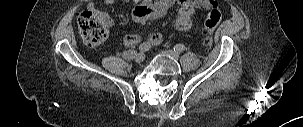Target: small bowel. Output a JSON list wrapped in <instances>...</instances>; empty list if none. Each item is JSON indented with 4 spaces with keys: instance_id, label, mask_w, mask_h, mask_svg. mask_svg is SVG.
<instances>
[{
    "instance_id": "small-bowel-1",
    "label": "small bowel",
    "mask_w": 303,
    "mask_h": 127,
    "mask_svg": "<svg viewBox=\"0 0 303 127\" xmlns=\"http://www.w3.org/2000/svg\"><path fill=\"white\" fill-rule=\"evenodd\" d=\"M105 5H112L116 1L122 3L132 2L135 7L132 11V17L135 22L145 24L149 20L164 18L170 8L178 3L180 8L176 14L174 23L177 29L187 31L193 26V17L197 9H209L218 6L216 0H102ZM89 10H95V4H87ZM107 24H111V18L106 13H100ZM150 45H159L162 42V35L158 32L150 33L146 39L139 33H131L124 37L123 44L127 47L135 46L141 42Z\"/></svg>"
}]
</instances>
